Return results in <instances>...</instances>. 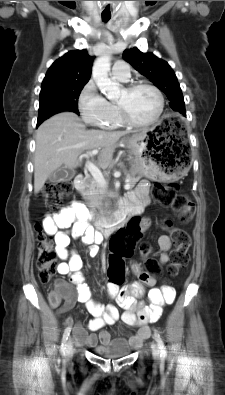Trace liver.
<instances>
[{
    "instance_id": "1",
    "label": "liver",
    "mask_w": 225,
    "mask_h": 395,
    "mask_svg": "<svg viewBox=\"0 0 225 395\" xmlns=\"http://www.w3.org/2000/svg\"><path fill=\"white\" fill-rule=\"evenodd\" d=\"M127 133L86 130L73 112H62L44 121L36 132L34 193L38 194L49 176L62 165L70 169L79 166L80 156L85 151L101 149L99 165L106 168L112 160L116 143Z\"/></svg>"
}]
</instances>
